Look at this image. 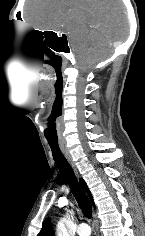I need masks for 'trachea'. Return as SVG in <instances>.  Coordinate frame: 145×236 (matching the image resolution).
<instances>
[{
  "label": "trachea",
  "mask_w": 145,
  "mask_h": 236,
  "mask_svg": "<svg viewBox=\"0 0 145 236\" xmlns=\"http://www.w3.org/2000/svg\"><path fill=\"white\" fill-rule=\"evenodd\" d=\"M49 146L52 150L53 158L55 163L57 164L63 178L66 180L68 185L70 186L76 201L84 213V215L88 218L92 216V205L91 202L86 195L85 191L80 186L70 164L67 162L63 153L59 148L58 142H50L48 141Z\"/></svg>",
  "instance_id": "1"
}]
</instances>
